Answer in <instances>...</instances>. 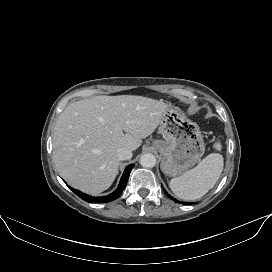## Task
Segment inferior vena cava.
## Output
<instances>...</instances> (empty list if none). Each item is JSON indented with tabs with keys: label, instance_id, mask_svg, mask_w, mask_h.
<instances>
[{
	"label": "inferior vena cava",
	"instance_id": "obj_1",
	"mask_svg": "<svg viewBox=\"0 0 272 272\" xmlns=\"http://www.w3.org/2000/svg\"><path fill=\"white\" fill-rule=\"evenodd\" d=\"M116 156L120 161L129 160L132 158V151L128 148L121 147L117 150Z\"/></svg>",
	"mask_w": 272,
	"mask_h": 272
}]
</instances>
